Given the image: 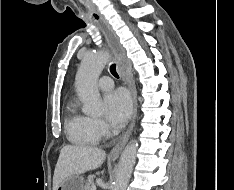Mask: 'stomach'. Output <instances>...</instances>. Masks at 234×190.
I'll use <instances>...</instances> for the list:
<instances>
[{
  "mask_svg": "<svg viewBox=\"0 0 234 190\" xmlns=\"http://www.w3.org/2000/svg\"><path fill=\"white\" fill-rule=\"evenodd\" d=\"M57 190H84V178L81 175H70L58 186Z\"/></svg>",
  "mask_w": 234,
  "mask_h": 190,
  "instance_id": "0dacf381",
  "label": "stomach"
}]
</instances>
